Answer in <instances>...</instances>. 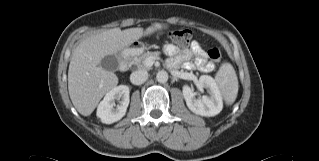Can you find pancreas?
<instances>
[{
  "label": "pancreas",
  "mask_w": 319,
  "mask_h": 161,
  "mask_svg": "<svg viewBox=\"0 0 319 161\" xmlns=\"http://www.w3.org/2000/svg\"><path fill=\"white\" fill-rule=\"evenodd\" d=\"M158 55L159 54L157 52H144V53H141L139 55L132 57L130 60V64L136 65L139 69L149 70L151 68V66H149L145 63L146 59L149 57L156 59L158 57Z\"/></svg>",
  "instance_id": "1"
}]
</instances>
